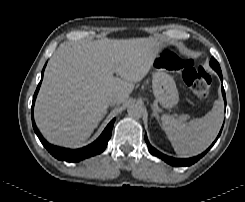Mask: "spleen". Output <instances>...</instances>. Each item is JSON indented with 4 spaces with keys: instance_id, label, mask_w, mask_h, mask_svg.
<instances>
[{
    "instance_id": "1",
    "label": "spleen",
    "mask_w": 245,
    "mask_h": 202,
    "mask_svg": "<svg viewBox=\"0 0 245 202\" xmlns=\"http://www.w3.org/2000/svg\"><path fill=\"white\" fill-rule=\"evenodd\" d=\"M223 112V102L216 100L210 112L189 122L163 114L162 129L179 156H194L204 151L215 139L223 122Z\"/></svg>"
}]
</instances>
